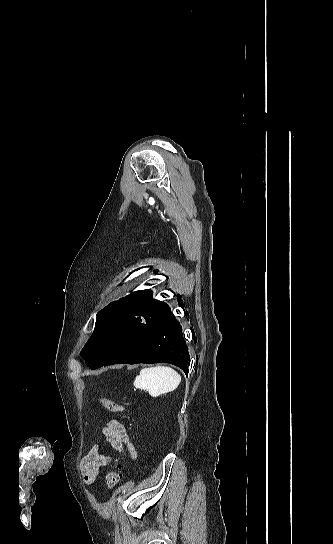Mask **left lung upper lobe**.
<instances>
[{
  "instance_id": "1",
  "label": "left lung upper lobe",
  "mask_w": 333,
  "mask_h": 544,
  "mask_svg": "<svg viewBox=\"0 0 333 544\" xmlns=\"http://www.w3.org/2000/svg\"><path fill=\"white\" fill-rule=\"evenodd\" d=\"M164 302H155L150 290L135 291L118 301L110 303L97 314L94 333L82 349L80 355L86 360L89 368L96 367L102 360V349L97 344V333L102 324L114 318L132 320L135 324L151 325L170 312Z\"/></svg>"
}]
</instances>
